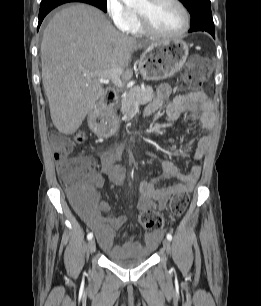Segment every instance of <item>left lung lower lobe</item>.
<instances>
[{"mask_svg": "<svg viewBox=\"0 0 261 306\" xmlns=\"http://www.w3.org/2000/svg\"><path fill=\"white\" fill-rule=\"evenodd\" d=\"M193 31H206L215 38V29H208V28H202V27L190 28L189 32H193Z\"/></svg>", "mask_w": 261, "mask_h": 306, "instance_id": "left-lung-lower-lobe-1", "label": "left lung lower lobe"}]
</instances>
